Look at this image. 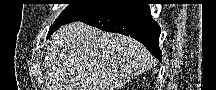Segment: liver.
Returning a JSON list of instances; mask_svg holds the SVG:
<instances>
[{
	"mask_svg": "<svg viewBox=\"0 0 216 90\" xmlns=\"http://www.w3.org/2000/svg\"><path fill=\"white\" fill-rule=\"evenodd\" d=\"M45 58L50 82L58 84L53 90H121L151 60L137 40L82 22L57 30Z\"/></svg>",
	"mask_w": 216,
	"mask_h": 90,
	"instance_id": "6515ba94",
	"label": "liver"
}]
</instances>
